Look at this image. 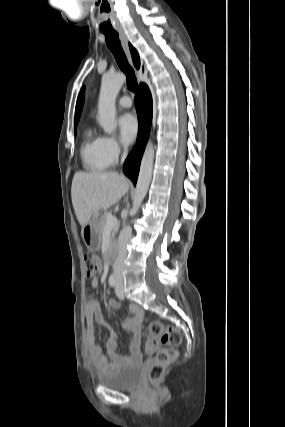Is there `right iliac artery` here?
<instances>
[{"instance_id":"obj_1","label":"right iliac artery","mask_w":285,"mask_h":427,"mask_svg":"<svg viewBox=\"0 0 285 427\" xmlns=\"http://www.w3.org/2000/svg\"><path fill=\"white\" fill-rule=\"evenodd\" d=\"M109 285L114 287L116 285V277L114 274L110 275L109 277Z\"/></svg>"}]
</instances>
